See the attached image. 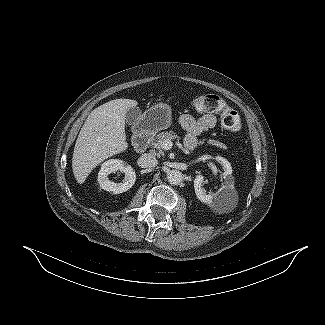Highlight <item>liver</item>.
Masks as SVG:
<instances>
[{
	"label": "liver",
	"mask_w": 325,
	"mask_h": 325,
	"mask_svg": "<svg viewBox=\"0 0 325 325\" xmlns=\"http://www.w3.org/2000/svg\"><path fill=\"white\" fill-rule=\"evenodd\" d=\"M137 104L131 99H115L91 111L80 130L72 158L73 173L79 184L102 161L128 148L125 115Z\"/></svg>",
	"instance_id": "obj_1"
}]
</instances>
